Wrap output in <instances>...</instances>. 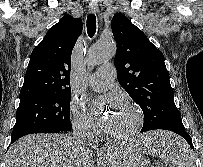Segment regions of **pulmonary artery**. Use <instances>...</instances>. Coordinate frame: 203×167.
<instances>
[{"label":"pulmonary artery","mask_w":203,"mask_h":167,"mask_svg":"<svg viewBox=\"0 0 203 167\" xmlns=\"http://www.w3.org/2000/svg\"><path fill=\"white\" fill-rule=\"evenodd\" d=\"M116 70L112 64L102 66L89 79V86L94 90L107 89L115 78Z\"/></svg>","instance_id":"pulmonary-artery-1"}]
</instances>
